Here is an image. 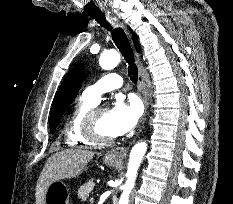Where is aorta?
I'll return each mask as SVG.
<instances>
[{
  "mask_svg": "<svg viewBox=\"0 0 233 204\" xmlns=\"http://www.w3.org/2000/svg\"><path fill=\"white\" fill-rule=\"evenodd\" d=\"M120 59V54L117 51L110 50L101 55L99 63L102 69L111 70L119 64ZM146 150L147 144L145 142H139L133 146L129 156L128 169L126 173L127 180L123 186V193L119 199V204L129 203V195L134 187L137 172Z\"/></svg>",
  "mask_w": 233,
  "mask_h": 204,
  "instance_id": "1",
  "label": "aorta"
}]
</instances>
